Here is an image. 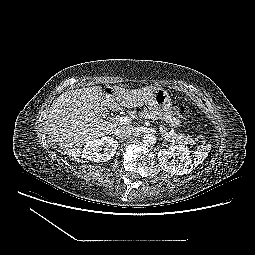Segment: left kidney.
<instances>
[{
    "label": "left kidney",
    "instance_id": "obj_1",
    "mask_svg": "<svg viewBox=\"0 0 255 255\" xmlns=\"http://www.w3.org/2000/svg\"><path fill=\"white\" fill-rule=\"evenodd\" d=\"M171 157H176L180 162L175 164L174 161L169 160ZM158 159L161 169L173 175L188 174L193 168L190 151L184 145H175L168 149H161L158 152Z\"/></svg>",
    "mask_w": 255,
    "mask_h": 255
}]
</instances>
